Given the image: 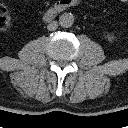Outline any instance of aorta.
I'll use <instances>...</instances> for the list:
<instances>
[{
  "label": "aorta",
  "mask_w": 128,
  "mask_h": 128,
  "mask_svg": "<svg viewBox=\"0 0 128 128\" xmlns=\"http://www.w3.org/2000/svg\"><path fill=\"white\" fill-rule=\"evenodd\" d=\"M74 23V16L71 13H63L59 17V24L63 28H69L73 25Z\"/></svg>",
  "instance_id": "762f6f07"
}]
</instances>
